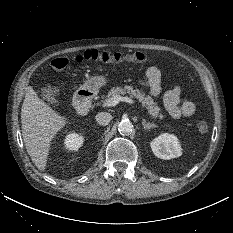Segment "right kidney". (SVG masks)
<instances>
[{
  "label": "right kidney",
  "instance_id": "1",
  "mask_svg": "<svg viewBox=\"0 0 233 233\" xmlns=\"http://www.w3.org/2000/svg\"><path fill=\"white\" fill-rule=\"evenodd\" d=\"M84 142V137L77 133H70L64 140L65 147L71 151H77Z\"/></svg>",
  "mask_w": 233,
  "mask_h": 233
}]
</instances>
